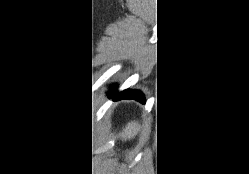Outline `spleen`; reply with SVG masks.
Segmentation results:
<instances>
[{"instance_id": "spleen-1", "label": "spleen", "mask_w": 249, "mask_h": 174, "mask_svg": "<svg viewBox=\"0 0 249 174\" xmlns=\"http://www.w3.org/2000/svg\"><path fill=\"white\" fill-rule=\"evenodd\" d=\"M137 130H138V123L131 121L130 123L127 124L126 128L121 134V137L124 140H127V139L130 140L134 138V136L137 134Z\"/></svg>"}]
</instances>
